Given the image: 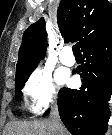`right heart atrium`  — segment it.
<instances>
[{"label":"right heart atrium","mask_w":112,"mask_h":135,"mask_svg":"<svg viewBox=\"0 0 112 135\" xmlns=\"http://www.w3.org/2000/svg\"><path fill=\"white\" fill-rule=\"evenodd\" d=\"M26 106L33 112L47 109L58 98V89L50 74L34 71L23 87Z\"/></svg>","instance_id":"obj_1"}]
</instances>
